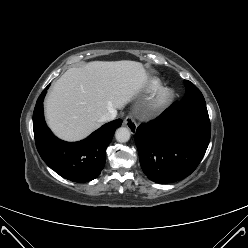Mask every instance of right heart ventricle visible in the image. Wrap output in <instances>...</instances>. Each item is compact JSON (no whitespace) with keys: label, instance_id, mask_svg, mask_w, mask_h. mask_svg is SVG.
Here are the masks:
<instances>
[{"label":"right heart ventricle","instance_id":"1","mask_svg":"<svg viewBox=\"0 0 248 248\" xmlns=\"http://www.w3.org/2000/svg\"><path fill=\"white\" fill-rule=\"evenodd\" d=\"M160 86V81L158 79H152L149 83V89L154 90Z\"/></svg>","mask_w":248,"mask_h":248}]
</instances>
